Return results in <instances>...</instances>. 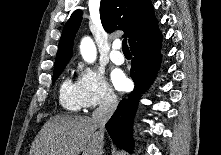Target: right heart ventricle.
<instances>
[{"mask_svg": "<svg viewBox=\"0 0 221 155\" xmlns=\"http://www.w3.org/2000/svg\"><path fill=\"white\" fill-rule=\"evenodd\" d=\"M59 101L63 108L68 111H78L82 108L79 96L77 83H74L71 79L66 78L60 87Z\"/></svg>", "mask_w": 221, "mask_h": 155, "instance_id": "obj_1", "label": "right heart ventricle"}]
</instances>
